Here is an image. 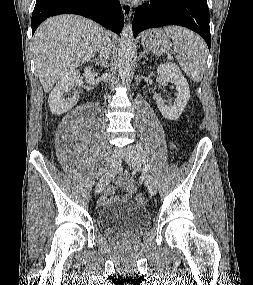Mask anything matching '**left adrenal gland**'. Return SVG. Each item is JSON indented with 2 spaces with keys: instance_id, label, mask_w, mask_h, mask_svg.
<instances>
[{
  "instance_id": "a2214340",
  "label": "left adrenal gland",
  "mask_w": 253,
  "mask_h": 285,
  "mask_svg": "<svg viewBox=\"0 0 253 285\" xmlns=\"http://www.w3.org/2000/svg\"><path fill=\"white\" fill-rule=\"evenodd\" d=\"M146 54H147V52L144 50L141 54H140V58H142V57H146Z\"/></svg>"
}]
</instances>
